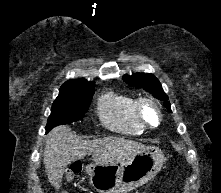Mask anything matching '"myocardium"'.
I'll use <instances>...</instances> for the list:
<instances>
[{
  "label": "myocardium",
  "mask_w": 221,
  "mask_h": 193,
  "mask_svg": "<svg viewBox=\"0 0 221 193\" xmlns=\"http://www.w3.org/2000/svg\"><path fill=\"white\" fill-rule=\"evenodd\" d=\"M148 108H152L156 112L157 118L155 122H152L148 118L146 114ZM135 112L138 120L144 127L156 128L161 124L163 119V114L159 103L151 97H142L138 99L135 102Z\"/></svg>",
  "instance_id": "f54148a6"
}]
</instances>
